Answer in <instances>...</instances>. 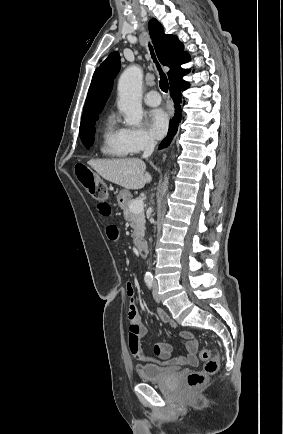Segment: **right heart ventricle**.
<instances>
[{"mask_svg": "<svg viewBox=\"0 0 283 434\" xmlns=\"http://www.w3.org/2000/svg\"><path fill=\"white\" fill-rule=\"evenodd\" d=\"M123 128L117 126L114 116L106 120L103 135L101 152L107 156L125 157L129 151L123 138Z\"/></svg>", "mask_w": 283, "mask_h": 434, "instance_id": "right-heart-ventricle-1", "label": "right heart ventricle"}]
</instances>
